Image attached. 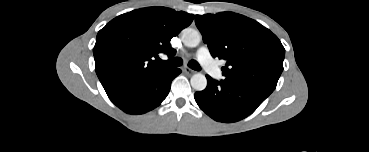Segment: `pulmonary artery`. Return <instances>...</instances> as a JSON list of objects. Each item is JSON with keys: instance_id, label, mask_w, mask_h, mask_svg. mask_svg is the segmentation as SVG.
Wrapping results in <instances>:
<instances>
[{"instance_id": "pulmonary-artery-1", "label": "pulmonary artery", "mask_w": 369, "mask_h": 152, "mask_svg": "<svg viewBox=\"0 0 369 152\" xmlns=\"http://www.w3.org/2000/svg\"><path fill=\"white\" fill-rule=\"evenodd\" d=\"M197 57L201 65L204 67V69L207 71L208 74H210L213 78H219L221 73L212 59L210 52L207 47L202 46L197 51Z\"/></svg>"}]
</instances>
